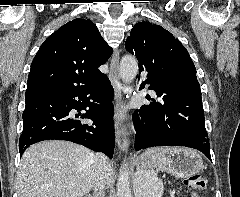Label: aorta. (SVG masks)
<instances>
[{
  "instance_id": "aorta-1",
  "label": "aorta",
  "mask_w": 240,
  "mask_h": 197,
  "mask_svg": "<svg viewBox=\"0 0 240 197\" xmlns=\"http://www.w3.org/2000/svg\"><path fill=\"white\" fill-rule=\"evenodd\" d=\"M138 72V63L135 57L131 55H125L120 62L119 75L122 81L126 84H130L136 77ZM140 178L142 174L138 175ZM145 179V185H146ZM117 197H131V191L129 187V170L127 164H124L120 168L118 181H117Z\"/></svg>"
}]
</instances>
